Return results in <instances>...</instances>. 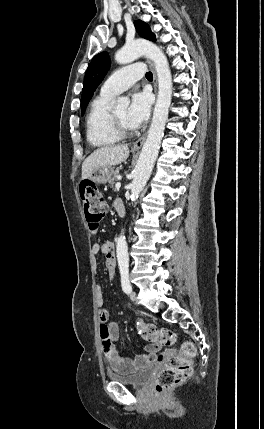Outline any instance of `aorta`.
<instances>
[{"label":"aorta","instance_id":"762f6f07","mask_svg":"<svg viewBox=\"0 0 264 429\" xmlns=\"http://www.w3.org/2000/svg\"><path fill=\"white\" fill-rule=\"evenodd\" d=\"M141 56L148 57L155 65L158 79V96L148 135L135 166L133 179L130 184L133 197H137L143 190L153 170L164 135L173 85L168 60L163 51L151 41L137 39L127 43L116 52L115 60L119 64H128ZM129 103L128 98L121 97L117 99L115 104L117 107H127ZM116 254L119 268L127 269L129 266L128 246L126 238L122 233L117 239Z\"/></svg>","mask_w":264,"mask_h":429}]
</instances>
